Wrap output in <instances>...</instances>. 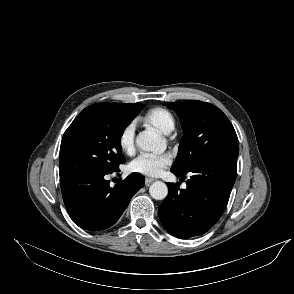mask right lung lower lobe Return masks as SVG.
<instances>
[{"instance_id":"right-lung-lower-lobe-1","label":"right lung lower lobe","mask_w":294,"mask_h":294,"mask_svg":"<svg viewBox=\"0 0 294 294\" xmlns=\"http://www.w3.org/2000/svg\"><path fill=\"white\" fill-rule=\"evenodd\" d=\"M111 173L97 171L60 177L65 207L79 227L91 231L111 227L144 185V177L132 173L112 188L106 180V175Z\"/></svg>"}]
</instances>
